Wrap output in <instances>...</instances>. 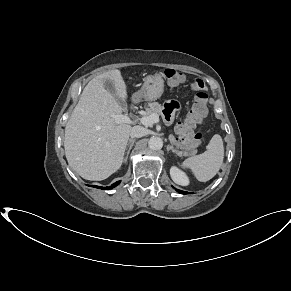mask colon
Wrapping results in <instances>:
<instances>
[{
	"label": "colon",
	"mask_w": 291,
	"mask_h": 291,
	"mask_svg": "<svg viewBox=\"0 0 291 291\" xmlns=\"http://www.w3.org/2000/svg\"><path fill=\"white\" fill-rule=\"evenodd\" d=\"M164 75L173 85L181 83L184 79L183 73L174 69H166ZM193 87L198 90L193 106L184 122L177 127L178 144L189 152L195 151L202 144L204 136L201 132L197 131V127L202 123L207 114L208 103V95L202 89L203 82L196 79Z\"/></svg>",
	"instance_id": "obj_1"
}]
</instances>
